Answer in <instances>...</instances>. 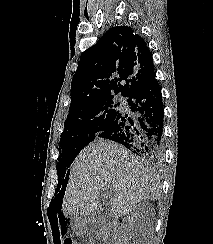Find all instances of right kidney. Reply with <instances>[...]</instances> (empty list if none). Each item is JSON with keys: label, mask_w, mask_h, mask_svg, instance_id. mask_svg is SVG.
I'll use <instances>...</instances> for the list:
<instances>
[{"label": "right kidney", "mask_w": 213, "mask_h": 244, "mask_svg": "<svg viewBox=\"0 0 213 244\" xmlns=\"http://www.w3.org/2000/svg\"><path fill=\"white\" fill-rule=\"evenodd\" d=\"M144 208H151V206L148 204V203H146V202H143V203H139L134 209H133V211L130 213V216L131 217H136L137 215H139V211L141 210V209H144Z\"/></svg>", "instance_id": "obj_1"}]
</instances>
